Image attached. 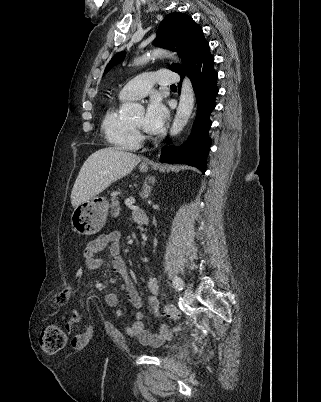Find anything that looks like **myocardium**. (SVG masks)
<instances>
[{
  "label": "myocardium",
  "mask_w": 321,
  "mask_h": 402,
  "mask_svg": "<svg viewBox=\"0 0 321 402\" xmlns=\"http://www.w3.org/2000/svg\"><path fill=\"white\" fill-rule=\"evenodd\" d=\"M131 128L135 131L138 136H143L142 129L130 123Z\"/></svg>",
  "instance_id": "myocardium-1"
}]
</instances>
